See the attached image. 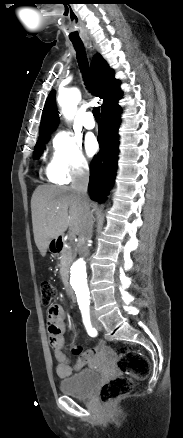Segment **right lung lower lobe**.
Returning a JSON list of instances; mask_svg holds the SVG:
<instances>
[{
    "label": "right lung lower lobe",
    "mask_w": 183,
    "mask_h": 438,
    "mask_svg": "<svg viewBox=\"0 0 183 438\" xmlns=\"http://www.w3.org/2000/svg\"><path fill=\"white\" fill-rule=\"evenodd\" d=\"M121 107L114 103L101 112L98 142L100 152L90 166L89 192L93 200L102 202L112 187L117 170L119 153L118 129Z\"/></svg>",
    "instance_id": "98d812e1"
}]
</instances>
